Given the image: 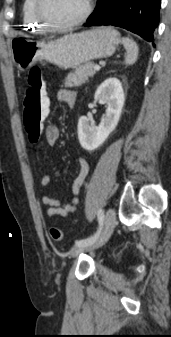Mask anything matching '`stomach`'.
Segmentation results:
<instances>
[{
	"mask_svg": "<svg viewBox=\"0 0 171 337\" xmlns=\"http://www.w3.org/2000/svg\"><path fill=\"white\" fill-rule=\"evenodd\" d=\"M119 44L117 31L111 27H99L47 42L17 37L12 40L11 48L15 65L25 71L41 59L64 69L76 67L111 56Z\"/></svg>",
	"mask_w": 171,
	"mask_h": 337,
	"instance_id": "obj_1",
	"label": "stomach"
}]
</instances>
